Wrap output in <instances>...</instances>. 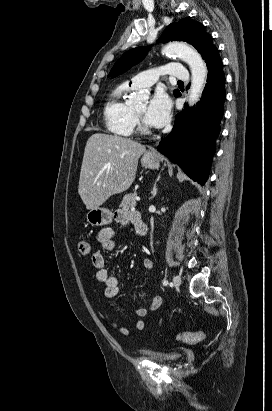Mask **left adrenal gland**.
I'll return each mask as SVG.
<instances>
[{"instance_id":"obj_1","label":"left adrenal gland","mask_w":272,"mask_h":411,"mask_svg":"<svg viewBox=\"0 0 272 411\" xmlns=\"http://www.w3.org/2000/svg\"><path fill=\"white\" fill-rule=\"evenodd\" d=\"M157 181H158V180L155 181L153 190L151 191V193H152V197H151V198H154V197L156 196V194H157Z\"/></svg>"}]
</instances>
